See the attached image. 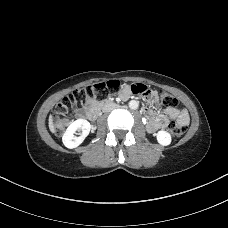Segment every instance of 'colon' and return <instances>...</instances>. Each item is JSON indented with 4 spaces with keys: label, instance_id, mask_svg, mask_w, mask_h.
Listing matches in <instances>:
<instances>
[{
    "label": "colon",
    "instance_id": "1",
    "mask_svg": "<svg viewBox=\"0 0 228 228\" xmlns=\"http://www.w3.org/2000/svg\"><path fill=\"white\" fill-rule=\"evenodd\" d=\"M122 83L119 80H109L102 83H97L89 87H83L76 90L69 96L64 97L55 107L52 116L53 126L57 134H61L69 123V116L75 108L81 107L91 97H101L105 90H115ZM131 90L134 94L142 95L149 98L152 94L151 90L144 84L134 83L131 85ZM91 94V96H89ZM159 105L163 110L176 108L178 104L177 98L166 91H159ZM169 131L175 138L182 137L186 131V127L178 121H172L169 124Z\"/></svg>",
    "mask_w": 228,
    "mask_h": 228
}]
</instances>
